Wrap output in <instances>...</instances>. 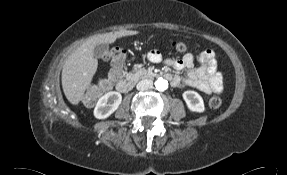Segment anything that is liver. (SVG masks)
<instances>
[{"label": "liver", "instance_id": "liver-1", "mask_svg": "<svg viewBox=\"0 0 287 175\" xmlns=\"http://www.w3.org/2000/svg\"><path fill=\"white\" fill-rule=\"evenodd\" d=\"M137 33V31L122 30L98 35L85 41L66 59L62 71V88L71 104L77 105L81 101L97 71L96 45L112 44L117 38Z\"/></svg>", "mask_w": 287, "mask_h": 175}]
</instances>
